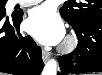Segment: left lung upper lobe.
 Returning <instances> with one entry per match:
<instances>
[{
  "instance_id": "1",
  "label": "left lung upper lobe",
  "mask_w": 102,
  "mask_h": 75,
  "mask_svg": "<svg viewBox=\"0 0 102 75\" xmlns=\"http://www.w3.org/2000/svg\"><path fill=\"white\" fill-rule=\"evenodd\" d=\"M60 13L70 24L78 20L102 19V0H68Z\"/></svg>"
}]
</instances>
